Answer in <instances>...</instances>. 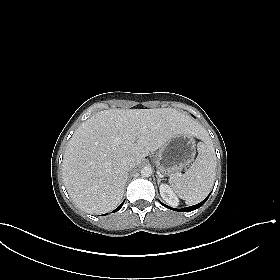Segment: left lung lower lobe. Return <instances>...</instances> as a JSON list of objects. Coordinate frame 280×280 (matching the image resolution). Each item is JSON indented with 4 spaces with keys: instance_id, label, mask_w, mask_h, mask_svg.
<instances>
[{
    "instance_id": "0a47b994",
    "label": "left lung lower lobe",
    "mask_w": 280,
    "mask_h": 280,
    "mask_svg": "<svg viewBox=\"0 0 280 280\" xmlns=\"http://www.w3.org/2000/svg\"><path fill=\"white\" fill-rule=\"evenodd\" d=\"M209 197V196H208ZM208 197L206 199H204L202 202H200L199 204L197 205H194V206H191V207H187V208H183V209H175V208H171L163 203H161L163 206H165L166 208H169V209H172V210H175V211H181V212H189V211H193L195 209H198L199 207H201L208 199Z\"/></svg>"
}]
</instances>
